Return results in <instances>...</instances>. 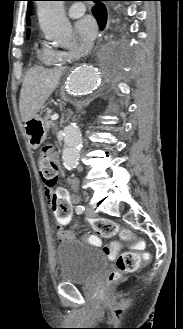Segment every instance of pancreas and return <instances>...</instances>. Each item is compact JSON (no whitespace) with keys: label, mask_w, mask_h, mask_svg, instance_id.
Instances as JSON below:
<instances>
[{"label":"pancreas","mask_w":183,"mask_h":329,"mask_svg":"<svg viewBox=\"0 0 183 329\" xmlns=\"http://www.w3.org/2000/svg\"><path fill=\"white\" fill-rule=\"evenodd\" d=\"M51 116H52V114H51V112H49V113L45 116V118H44V123H45L46 128H47L48 130H49L51 127L57 129V128H56V125H55L52 121H50Z\"/></svg>","instance_id":"pancreas-1"}]
</instances>
